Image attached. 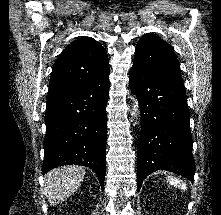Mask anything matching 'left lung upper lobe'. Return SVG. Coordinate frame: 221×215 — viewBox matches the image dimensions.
<instances>
[{"instance_id": "5c2ea615", "label": "left lung upper lobe", "mask_w": 221, "mask_h": 215, "mask_svg": "<svg viewBox=\"0 0 221 215\" xmlns=\"http://www.w3.org/2000/svg\"><path fill=\"white\" fill-rule=\"evenodd\" d=\"M133 64L162 77L183 83L173 48L155 35L147 34L140 39Z\"/></svg>"}]
</instances>
